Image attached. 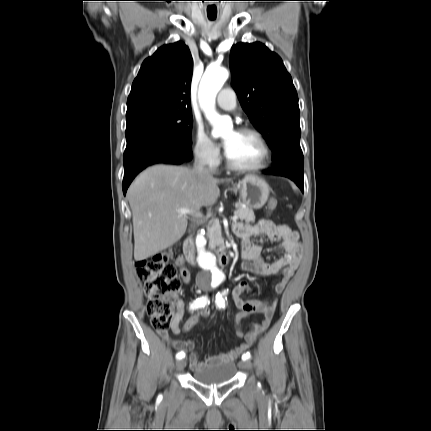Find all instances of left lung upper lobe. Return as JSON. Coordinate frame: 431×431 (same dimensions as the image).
Segmentation results:
<instances>
[{
	"label": "left lung upper lobe",
	"instance_id": "1",
	"mask_svg": "<svg viewBox=\"0 0 431 431\" xmlns=\"http://www.w3.org/2000/svg\"><path fill=\"white\" fill-rule=\"evenodd\" d=\"M232 85L243 110L273 152V166L286 157L303 159L298 96L281 58L260 42L234 45Z\"/></svg>",
	"mask_w": 431,
	"mask_h": 431
}]
</instances>
